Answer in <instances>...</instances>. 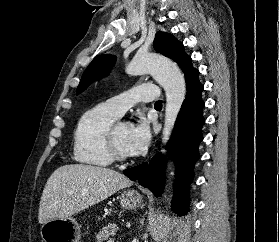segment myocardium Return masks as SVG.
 Segmentation results:
<instances>
[{"label":"myocardium","instance_id":"1","mask_svg":"<svg viewBox=\"0 0 279 242\" xmlns=\"http://www.w3.org/2000/svg\"><path fill=\"white\" fill-rule=\"evenodd\" d=\"M121 124H126L124 122H115L113 123L106 135L107 140V146L109 149V152L113 158V160L119 161V162H128L130 160V156L123 154L120 149L117 146L116 143V130Z\"/></svg>","mask_w":279,"mask_h":242}]
</instances>
